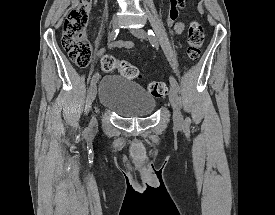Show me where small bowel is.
Returning <instances> with one entry per match:
<instances>
[{
  "mask_svg": "<svg viewBox=\"0 0 275 215\" xmlns=\"http://www.w3.org/2000/svg\"><path fill=\"white\" fill-rule=\"evenodd\" d=\"M97 0H94L96 3ZM170 10H169V19L166 22L168 26L172 25V23L178 18L179 16V8L183 7L185 5V0H170ZM198 9H202L201 5H198ZM185 29V24L178 22L174 24L173 29L169 32L170 35H179L181 34ZM134 42L132 41H123V40H118L114 43H112L109 48H127V49H132L134 48ZM104 53V49L101 48L97 51V56L101 57L102 54Z\"/></svg>",
  "mask_w": 275,
  "mask_h": 215,
  "instance_id": "1",
  "label": "small bowel"
}]
</instances>
